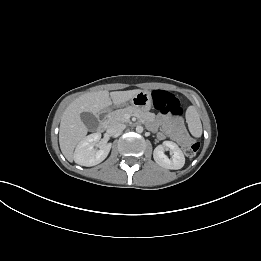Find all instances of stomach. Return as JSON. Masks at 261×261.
Returning a JSON list of instances; mask_svg holds the SVG:
<instances>
[{"instance_id":"0dacf381","label":"stomach","mask_w":261,"mask_h":261,"mask_svg":"<svg viewBox=\"0 0 261 261\" xmlns=\"http://www.w3.org/2000/svg\"><path fill=\"white\" fill-rule=\"evenodd\" d=\"M138 108L142 111H148L152 105V96L149 91H141L129 100L127 105Z\"/></svg>"}]
</instances>
